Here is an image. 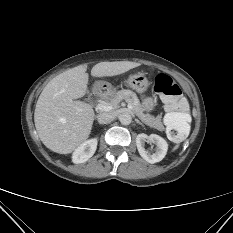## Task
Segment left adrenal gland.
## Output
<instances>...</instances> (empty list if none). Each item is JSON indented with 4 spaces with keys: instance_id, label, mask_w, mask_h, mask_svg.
Segmentation results:
<instances>
[{
    "instance_id": "1",
    "label": "left adrenal gland",
    "mask_w": 233,
    "mask_h": 233,
    "mask_svg": "<svg viewBox=\"0 0 233 233\" xmlns=\"http://www.w3.org/2000/svg\"><path fill=\"white\" fill-rule=\"evenodd\" d=\"M136 123L143 126V123H141L138 119H136Z\"/></svg>"
}]
</instances>
